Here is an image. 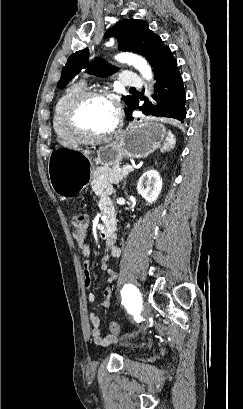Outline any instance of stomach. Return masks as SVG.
Returning a JSON list of instances; mask_svg holds the SVG:
<instances>
[{
	"mask_svg": "<svg viewBox=\"0 0 243 409\" xmlns=\"http://www.w3.org/2000/svg\"><path fill=\"white\" fill-rule=\"evenodd\" d=\"M166 134L164 125L155 120L131 123L116 139L96 150L54 149L48 161V174L52 189L67 197L80 193L88 184L94 171V162L113 166L123 158H144L160 147Z\"/></svg>",
	"mask_w": 243,
	"mask_h": 409,
	"instance_id": "0dacf381",
	"label": "stomach"
}]
</instances>
